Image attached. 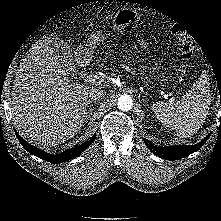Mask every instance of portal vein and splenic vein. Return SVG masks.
<instances>
[{"label": "portal vein and splenic vein", "instance_id": "18ae733b", "mask_svg": "<svg viewBox=\"0 0 221 221\" xmlns=\"http://www.w3.org/2000/svg\"><path fill=\"white\" fill-rule=\"evenodd\" d=\"M126 71L130 72L133 75H136L135 71H133L128 66H123ZM84 81L90 84H101L104 81V78L98 75H87L84 77Z\"/></svg>", "mask_w": 221, "mask_h": 221}]
</instances>
